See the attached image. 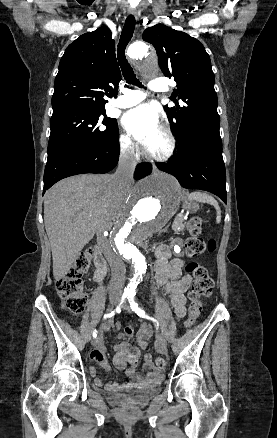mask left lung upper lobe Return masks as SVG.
<instances>
[{
	"label": "left lung upper lobe",
	"mask_w": 277,
	"mask_h": 438,
	"mask_svg": "<svg viewBox=\"0 0 277 438\" xmlns=\"http://www.w3.org/2000/svg\"><path fill=\"white\" fill-rule=\"evenodd\" d=\"M143 40L155 47L161 70L174 78L175 92L183 100L181 106L165 107L181 150L202 122L219 120L210 57L197 39L163 24L147 28Z\"/></svg>",
	"instance_id": "5c2ea615"
}]
</instances>
